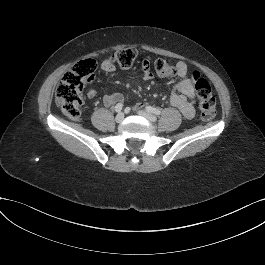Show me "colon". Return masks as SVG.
Here are the masks:
<instances>
[{"instance_id":"obj_1","label":"colon","mask_w":265,"mask_h":265,"mask_svg":"<svg viewBox=\"0 0 265 265\" xmlns=\"http://www.w3.org/2000/svg\"><path fill=\"white\" fill-rule=\"evenodd\" d=\"M137 58L134 48H124L116 51L110 61L121 68H129ZM157 75L161 78L170 79L177 74L175 66L163 59L154 62ZM96 62L93 59H85L76 63L62 77L57 86L56 103L63 113L72 120H79L82 114V90L87 83L95 80ZM196 96L199 101L201 117L210 121L216 114V100L207 80L201 77L198 71L192 73Z\"/></svg>"}]
</instances>
